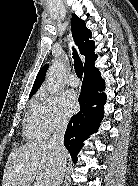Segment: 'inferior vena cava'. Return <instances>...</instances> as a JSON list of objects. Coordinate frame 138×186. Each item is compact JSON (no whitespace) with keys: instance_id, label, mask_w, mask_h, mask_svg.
<instances>
[{"instance_id":"1","label":"inferior vena cava","mask_w":138,"mask_h":186,"mask_svg":"<svg viewBox=\"0 0 138 186\" xmlns=\"http://www.w3.org/2000/svg\"><path fill=\"white\" fill-rule=\"evenodd\" d=\"M67 121H60L55 127L52 137L47 142L55 150L56 157L49 173L47 186H60L63 172L66 166V149L64 147V135Z\"/></svg>"}]
</instances>
